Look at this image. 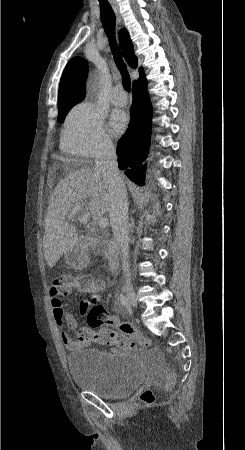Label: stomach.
I'll use <instances>...</instances> for the list:
<instances>
[{"label":"stomach","mask_w":245,"mask_h":450,"mask_svg":"<svg viewBox=\"0 0 245 450\" xmlns=\"http://www.w3.org/2000/svg\"><path fill=\"white\" fill-rule=\"evenodd\" d=\"M65 261L74 268H82L88 261L87 253L79 245L75 244L73 248L65 253Z\"/></svg>","instance_id":"0dacf381"}]
</instances>
